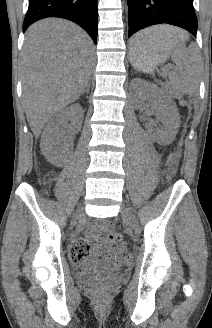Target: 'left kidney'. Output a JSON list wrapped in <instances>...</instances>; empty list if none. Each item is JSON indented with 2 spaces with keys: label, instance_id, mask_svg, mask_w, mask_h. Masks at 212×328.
<instances>
[{
  "label": "left kidney",
  "instance_id": "5707ae66",
  "mask_svg": "<svg viewBox=\"0 0 212 328\" xmlns=\"http://www.w3.org/2000/svg\"><path fill=\"white\" fill-rule=\"evenodd\" d=\"M138 88L136 106H140L146 99L149 100L157 112V120L162 123L158 129L147 126L154 139L158 143L166 144L171 142L178 130L180 119L179 111L174 101L160 88L154 84L147 83L141 79L132 81Z\"/></svg>",
  "mask_w": 212,
  "mask_h": 328
}]
</instances>
